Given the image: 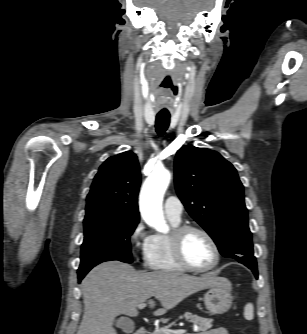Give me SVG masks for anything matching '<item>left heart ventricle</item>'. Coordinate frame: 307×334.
Listing matches in <instances>:
<instances>
[{
    "label": "left heart ventricle",
    "instance_id": "1",
    "mask_svg": "<svg viewBox=\"0 0 307 334\" xmlns=\"http://www.w3.org/2000/svg\"><path fill=\"white\" fill-rule=\"evenodd\" d=\"M184 252L188 261L197 267H207L215 258L210 242L198 232L187 235L184 241Z\"/></svg>",
    "mask_w": 307,
    "mask_h": 334
}]
</instances>
